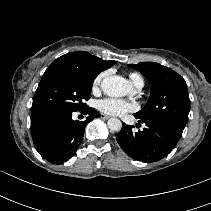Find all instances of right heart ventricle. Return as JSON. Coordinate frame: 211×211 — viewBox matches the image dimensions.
<instances>
[{
    "instance_id": "obj_1",
    "label": "right heart ventricle",
    "mask_w": 211,
    "mask_h": 211,
    "mask_svg": "<svg viewBox=\"0 0 211 211\" xmlns=\"http://www.w3.org/2000/svg\"><path fill=\"white\" fill-rule=\"evenodd\" d=\"M129 78L133 82V84L136 86L144 84L143 78L137 73H131L129 75Z\"/></svg>"
}]
</instances>
